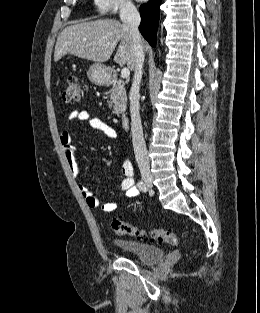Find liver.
Returning a JSON list of instances; mask_svg holds the SVG:
<instances>
[{
	"instance_id": "liver-1",
	"label": "liver",
	"mask_w": 260,
	"mask_h": 313,
	"mask_svg": "<svg viewBox=\"0 0 260 313\" xmlns=\"http://www.w3.org/2000/svg\"><path fill=\"white\" fill-rule=\"evenodd\" d=\"M119 41L114 61L121 66L127 64L131 70L135 69L130 30L126 25L112 19L82 22L66 27L57 38L54 61L71 54L98 63L105 62L111 57ZM142 45L144 49L143 42Z\"/></svg>"
}]
</instances>
